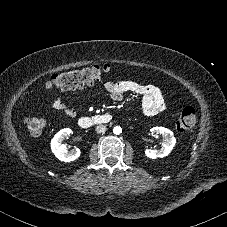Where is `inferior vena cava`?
Wrapping results in <instances>:
<instances>
[{
    "label": "inferior vena cava",
    "instance_id": "obj_1",
    "mask_svg": "<svg viewBox=\"0 0 227 227\" xmlns=\"http://www.w3.org/2000/svg\"><path fill=\"white\" fill-rule=\"evenodd\" d=\"M97 133H104L106 131V126L105 125H98L95 129Z\"/></svg>",
    "mask_w": 227,
    "mask_h": 227
}]
</instances>
